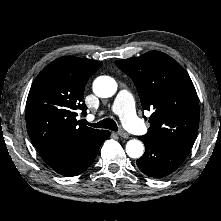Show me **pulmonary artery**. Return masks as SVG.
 Here are the masks:
<instances>
[{"instance_id":"obj_1","label":"pulmonary artery","mask_w":221,"mask_h":221,"mask_svg":"<svg viewBox=\"0 0 221 221\" xmlns=\"http://www.w3.org/2000/svg\"><path fill=\"white\" fill-rule=\"evenodd\" d=\"M112 111L117 114L125 127L133 133L142 134L145 126L135 113L134 99L128 90H121L115 98Z\"/></svg>"}]
</instances>
